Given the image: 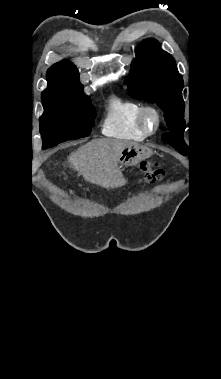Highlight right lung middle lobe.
<instances>
[{
  "mask_svg": "<svg viewBox=\"0 0 221 379\" xmlns=\"http://www.w3.org/2000/svg\"><path fill=\"white\" fill-rule=\"evenodd\" d=\"M44 114L40 118L43 149L86 137L90 134L95 108L85 94L77 99H42Z\"/></svg>",
  "mask_w": 221,
  "mask_h": 379,
  "instance_id": "right-lung-middle-lobe-1",
  "label": "right lung middle lobe"
}]
</instances>
